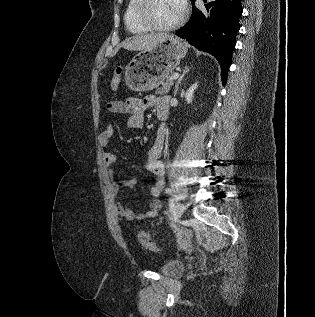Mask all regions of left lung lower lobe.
I'll return each mask as SVG.
<instances>
[{
	"instance_id": "left-lung-lower-lobe-1",
	"label": "left lung lower lobe",
	"mask_w": 315,
	"mask_h": 317,
	"mask_svg": "<svg viewBox=\"0 0 315 317\" xmlns=\"http://www.w3.org/2000/svg\"><path fill=\"white\" fill-rule=\"evenodd\" d=\"M192 2V16L176 35L186 39L201 51L215 56L220 63L223 85L232 63V51L242 15L241 0H215L205 9H198Z\"/></svg>"
}]
</instances>
